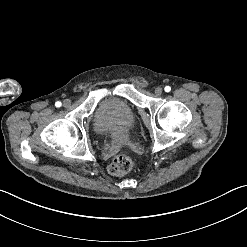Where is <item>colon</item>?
Listing matches in <instances>:
<instances>
[{
	"label": "colon",
	"mask_w": 247,
	"mask_h": 247,
	"mask_svg": "<svg viewBox=\"0 0 247 247\" xmlns=\"http://www.w3.org/2000/svg\"><path fill=\"white\" fill-rule=\"evenodd\" d=\"M133 159L128 155L122 154L116 156L109 165V173L112 175H122L132 169Z\"/></svg>",
	"instance_id": "5ec220e1"
}]
</instances>
